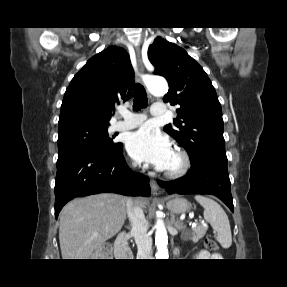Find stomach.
<instances>
[{
    "instance_id": "stomach-1",
    "label": "stomach",
    "mask_w": 287,
    "mask_h": 287,
    "mask_svg": "<svg viewBox=\"0 0 287 287\" xmlns=\"http://www.w3.org/2000/svg\"><path fill=\"white\" fill-rule=\"evenodd\" d=\"M167 208L172 213L181 214L190 210V205L186 199L180 197H174L170 198L167 201Z\"/></svg>"
}]
</instances>
